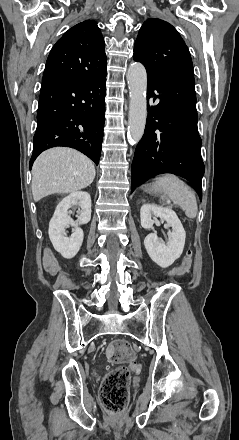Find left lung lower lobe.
<instances>
[{"mask_svg": "<svg viewBox=\"0 0 239 440\" xmlns=\"http://www.w3.org/2000/svg\"><path fill=\"white\" fill-rule=\"evenodd\" d=\"M147 109L146 129L132 163L131 192L140 181L172 173L189 180L202 199L204 164L194 76L147 73Z\"/></svg>", "mask_w": 239, "mask_h": 440, "instance_id": "0a47b994", "label": "left lung lower lobe"}]
</instances>
